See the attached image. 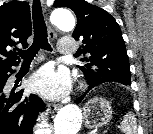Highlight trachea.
<instances>
[{"label": "trachea", "mask_w": 153, "mask_h": 134, "mask_svg": "<svg viewBox=\"0 0 153 134\" xmlns=\"http://www.w3.org/2000/svg\"><path fill=\"white\" fill-rule=\"evenodd\" d=\"M34 41L27 50H19L17 54L26 62L31 61L40 49L52 51L48 43L47 27L44 21L40 0H34L32 5Z\"/></svg>", "instance_id": "obj_1"}]
</instances>
